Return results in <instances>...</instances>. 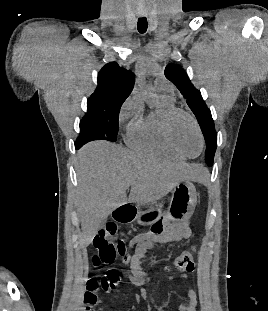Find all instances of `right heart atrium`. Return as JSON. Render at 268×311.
I'll list each match as a JSON object with an SVG mask.
<instances>
[{
	"mask_svg": "<svg viewBox=\"0 0 268 311\" xmlns=\"http://www.w3.org/2000/svg\"><path fill=\"white\" fill-rule=\"evenodd\" d=\"M142 112V105L140 100L133 96L123 105L120 112V121L125 122L128 119L137 116Z\"/></svg>",
	"mask_w": 268,
	"mask_h": 311,
	"instance_id": "right-heart-atrium-1",
	"label": "right heart atrium"
}]
</instances>
